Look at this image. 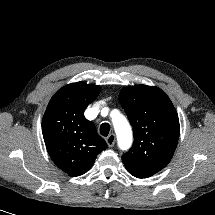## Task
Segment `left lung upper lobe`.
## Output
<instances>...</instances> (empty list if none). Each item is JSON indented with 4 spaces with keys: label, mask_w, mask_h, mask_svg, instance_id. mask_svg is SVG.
Returning <instances> with one entry per match:
<instances>
[{
    "label": "left lung upper lobe",
    "mask_w": 215,
    "mask_h": 215,
    "mask_svg": "<svg viewBox=\"0 0 215 215\" xmlns=\"http://www.w3.org/2000/svg\"><path fill=\"white\" fill-rule=\"evenodd\" d=\"M119 101L133 127L134 143L122 156L130 174L148 178L170 162L179 139L178 114L158 87H126Z\"/></svg>",
    "instance_id": "1"
}]
</instances>
